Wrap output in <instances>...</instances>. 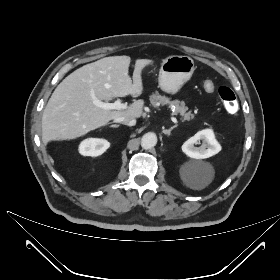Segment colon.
Returning a JSON list of instances; mask_svg holds the SVG:
<instances>
[{"label": "colon", "mask_w": 280, "mask_h": 280, "mask_svg": "<svg viewBox=\"0 0 280 280\" xmlns=\"http://www.w3.org/2000/svg\"><path fill=\"white\" fill-rule=\"evenodd\" d=\"M214 83L210 80H206L204 82V89L207 92H212L214 91ZM218 94L220 99L223 102V105L226 109L227 112L229 113H236L238 110V101L236 98L235 93L233 92V90L227 86H221L218 89Z\"/></svg>", "instance_id": "1"}]
</instances>
